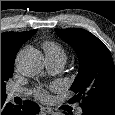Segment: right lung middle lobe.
<instances>
[{
  "label": "right lung middle lobe",
  "mask_w": 115,
  "mask_h": 115,
  "mask_svg": "<svg viewBox=\"0 0 115 115\" xmlns=\"http://www.w3.org/2000/svg\"><path fill=\"white\" fill-rule=\"evenodd\" d=\"M9 78H2L1 79V99H5L6 98V93H5V86H6V81Z\"/></svg>",
  "instance_id": "obj_1"
}]
</instances>
